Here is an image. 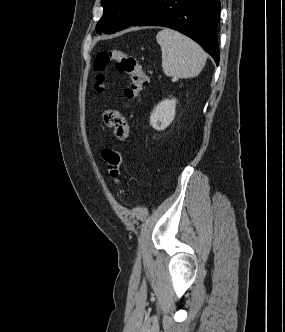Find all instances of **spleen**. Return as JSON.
Returning a JSON list of instances; mask_svg holds the SVG:
<instances>
[{
	"label": "spleen",
	"instance_id": "spleen-1",
	"mask_svg": "<svg viewBox=\"0 0 285 332\" xmlns=\"http://www.w3.org/2000/svg\"><path fill=\"white\" fill-rule=\"evenodd\" d=\"M156 40L162 51V68L166 76L193 78L205 66L207 55L195 41L169 28L159 31Z\"/></svg>",
	"mask_w": 285,
	"mask_h": 332
}]
</instances>
